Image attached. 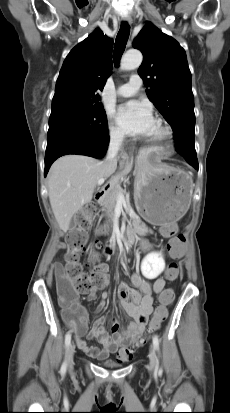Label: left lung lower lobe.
<instances>
[{
	"label": "left lung lower lobe",
	"mask_w": 230,
	"mask_h": 413,
	"mask_svg": "<svg viewBox=\"0 0 230 413\" xmlns=\"http://www.w3.org/2000/svg\"><path fill=\"white\" fill-rule=\"evenodd\" d=\"M180 143H185V144H187V141H186V139H180V141H179ZM192 144H193V142H192ZM194 147H195V143H194ZM181 154V153H180ZM183 157H184V159L191 165V166H193L195 169H197L198 170V168H199V166H198V160H197V155L196 154H192V153H184V154H181Z\"/></svg>",
	"instance_id": "1"
}]
</instances>
